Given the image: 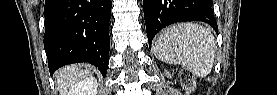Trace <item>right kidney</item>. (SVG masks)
<instances>
[{
    "label": "right kidney",
    "instance_id": "ca27d5eb",
    "mask_svg": "<svg viewBox=\"0 0 277 95\" xmlns=\"http://www.w3.org/2000/svg\"><path fill=\"white\" fill-rule=\"evenodd\" d=\"M97 86L95 78H87L79 83L78 93L75 95H97Z\"/></svg>",
    "mask_w": 277,
    "mask_h": 95
}]
</instances>
